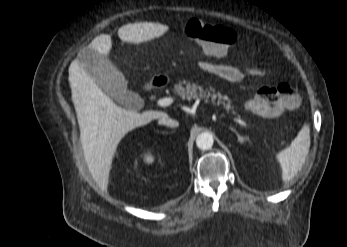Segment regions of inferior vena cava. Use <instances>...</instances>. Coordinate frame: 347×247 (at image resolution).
I'll list each match as a JSON object with an SVG mask.
<instances>
[{"instance_id": "inferior-vena-cava-1", "label": "inferior vena cava", "mask_w": 347, "mask_h": 247, "mask_svg": "<svg viewBox=\"0 0 347 247\" xmlns=\"http://www.w3.org/2000/svg\"><path fill=\"white\" fill-rule=\"evenodd\" d=\"M158 122L161 125H166L169 127H178L179 126V122L171 119L167 114H164L162 117H160Z\"/></svg>"}]
</instances>
